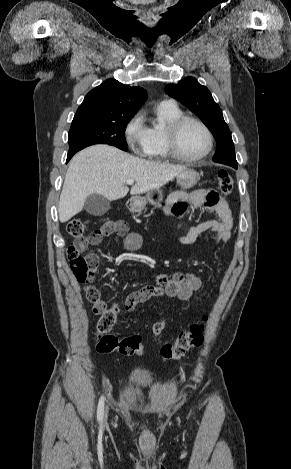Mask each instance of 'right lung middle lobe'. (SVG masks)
Masks as SVG:
<instances>
[{"label":"right lung middle lobe","mask_w":291,"mask_h":469,"mask_svg":"<svg viewBox=\"0 0 291 469\" xmlns=\"http://www.w3.org/2000/svg\"><path fill=\"white\" fill-rule=\"evenodd\" d=\"M132 117L75 114L68 134L69 153L93 144H109L127 151L125 129Z\"/></svg>","instance_id":"dd1d6c3e"}]
</instances>
